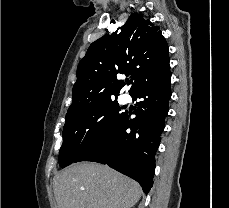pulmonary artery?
Wrapping results in <instances>:
<instances>
[{
  "instance_id": "1",
  "label": "pulmonary artery",
  "mask_w": 229,
  "mask_h": 208,
  "mask_svg": "<svg viewBox=\"0 0 229 208\" xmlns=\"http://www.w3.org/2000/svg\"><path fill=\"white\" fill-rule=\"evenodd\" d=\"M127 100H128V97H124V98L121 99V102H125Z\"/></svg>"
}]
</instances>
